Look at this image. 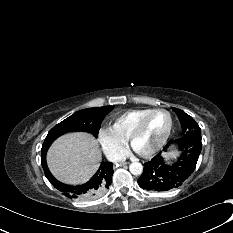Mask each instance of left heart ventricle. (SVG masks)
Listing matches in <instances>:
<instances>
[{"label": "left heart ventricle", "instance_id": "1", "mask_svg": "<svg viewBox=\"0 0 233 233\" xmlns=\"http://www.w3.org/2000/svg\"><path fill=\"white\" fill-rule=\"evenodd\" d=\"M169 124V117L165 112L152 114L141 134L135 141V147L139 151H146L155 146L164 136Z\"/></svg>", "mask_w": 233, "mask_h": 233}]
</instances>
